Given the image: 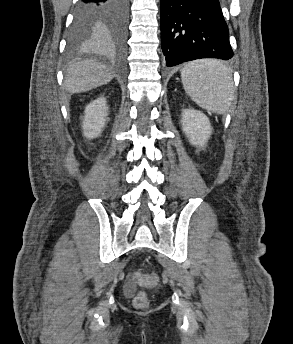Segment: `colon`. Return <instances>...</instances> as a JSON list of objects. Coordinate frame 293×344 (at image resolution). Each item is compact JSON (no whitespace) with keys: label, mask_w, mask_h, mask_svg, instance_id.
Instances as JSON below:
<instances>
[{"label":"colon","mask_w":293,"mask_h":344,"mask_svg":"<svg viewBox=\"0 0 293 344\" xmlns=\"http://www.w3.org/2000/svg\"><path fill=\"white\" fill-rule=\"evenodd\" d=\"M130 278L134 282L146 281V282L154 283L157 281L156 275H154V274L144 275V274H141L139 272L132 273L130 275ZM133 305H134V307H136L138 309L147 308V306H148L147 294L144 291L138 292L133 299Z\"/></svg>","instance_id":"1"}]
</instances>
